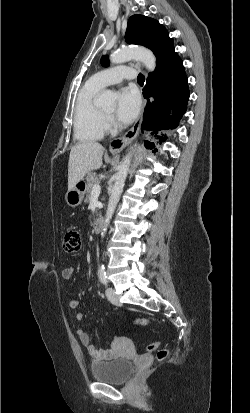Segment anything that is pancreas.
Returning <instances> with one entry per match:
<instances>
[{
  "instance_id": "obj_1",
  "label": "pancreas",
  "mask_w": 250,
  "mask_h": 413,
  "mask_svg": "<svg viewBox=\"0 0 250 413\" xmlns=\"http://www.w3.org/2000/svg\"><path fill=\"white\" fill-rule=\"evenodd\" d=\"M86 181H87V183H86V199H85V201L89 202L91 194H92L93 187L96 184H99L100 180L97 177L95 172H88V174L86 176Z\"/></svg>"
}]
</instances>
